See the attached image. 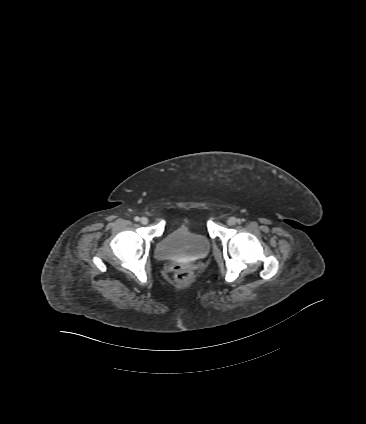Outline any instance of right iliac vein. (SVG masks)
<instances>
[{
    "mask_svg": "<svg viewBox=\"0 0 366 424\" xmlns=\"http://www.w3.org/2000/svg\"><path fill=\"white\" fill-rule=\"evenodd\" d=\"M140 222H141L143 225H146V224H148V218H146V217H142V218H141V220H140Z\"/></svg>",
    "mask_w": 366,
    "mask_h": 424,
    "instance_id": "1",
    "label": "right iliac vein"
}]
</instances>
